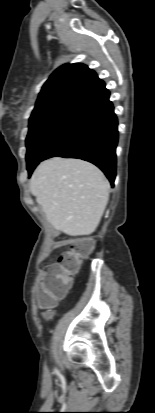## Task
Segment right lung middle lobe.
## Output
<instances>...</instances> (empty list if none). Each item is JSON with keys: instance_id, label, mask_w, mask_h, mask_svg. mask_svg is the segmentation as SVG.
Wrapping results in <instances>:
<instances>
[{"instance_id": "dd1d6c3e", "label": "right lung middle lobe", "mask_w": 155, "mask_h": 413, "mask_svg": "<svg viewBox=\"0 0 155 413\" xmlns=\"http://www.w3.org/2000/svg\"><path fill=\"white\" fill-rule=\"evenodd\" d=\"M78 105H67L49 111L29 123L26 138L27 169L37 165L60 138Z\"/></svg>"}]
</instances>
